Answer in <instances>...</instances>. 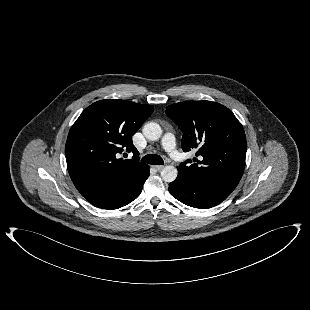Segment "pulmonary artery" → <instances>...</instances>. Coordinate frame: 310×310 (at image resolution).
<instances>
[{
  "label": "pulmonary artery",
  "mask_w": 310,
  "mask_h": 310,
  "mask_svg": "<svg viewBox=\"0 0 310 310\" xmlns=\"http://www.w3.org/2000/svg\"><path fill=\"white\" fill-rule=\"evenodd\" d=\"M163 149L173 158L175 161L180 162L182 160L181 153L176 148L175 137L171 133H166L161 141Z\"/></svg>",
  "instance_id": "obj_1"
}]
</instances>
